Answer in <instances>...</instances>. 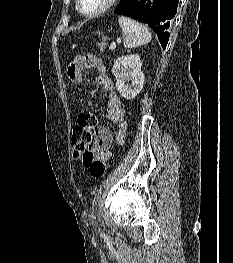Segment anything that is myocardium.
<instances>
[{
  "label": "myocardium",
  "mask_w": 233,
  "mask_h": 263,
  "mask_svg": "<svg viewBox=\"0 0 233 263\" xmlns=\"http://www.w3.org/2000/svg\"><path fill=\"white\" fill-rule=\"evenodd\" d=\"M117 1L118 0H107L106 3L97 11L87 13L81 8V0H76V9L84 17L95 18L109 11L116 4Z\"/></svg>",
  "instance_id": "obj_1"
}]
</instances>
